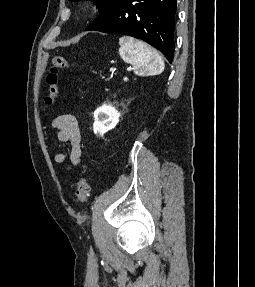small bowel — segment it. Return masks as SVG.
<instances>
[{"label":"small bowel","mask_w":255,"mask_h":287,"mask_svg":"<svg viewBox=\"0 0 255 287\" xmlns=\"http://www.w3.org/2000/svg\"><path fill=\"white\" fill-rule=\"evenodd\" d=\"M52 126L57 131L58 141L70 144L68 153L59 152L54 156L55 162L64 164L69 159L72 165L80 164L82 156L81 132L77 117L71 114L60 115L54 119Z\"/></svg>","instance_id":"c3829d8e"}]
</instances>
